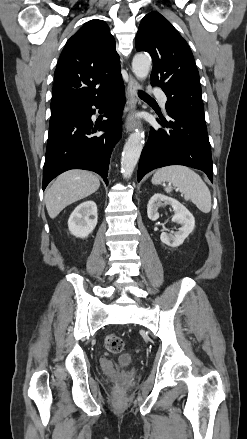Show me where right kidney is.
I'll list each match as a JSON object with an SVG mask.
<instances>
[{
  "mask_svg": "<svg viewBox=\"0 0 247 439\" xmlns=\"http://www.w3.org/2000/svg\"><path fill=\"white\" fill-rule=\"evenodd\" d=\"M97 225V206L92 200L79 204L71 213L68 228L79 238L87 237Z\"/></svg>",
  "mask_w": 247,
  "mask_h": 439,
  "instance_id": "obj_1",
  "label": "right kidney"
}]
</instances>
